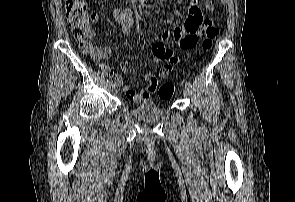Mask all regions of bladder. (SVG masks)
<instances>
[{
	"mask_svg": "<svg viewBox=\"0 0 295 202\" xmlns=\"http://www.w3.org/2000/svg\"><path fill=\"white\" fill-rule=\"evenodd\" d=\"M130 114L137 120L152 122L162 118L164 110L155 100L149 99L133 107Z\"/></svg>",
	"mask_w": 295,
	"mask_h": 202,
	"instance_id": "bladder-1",
	"label": "bladder"
}]
</instances>
